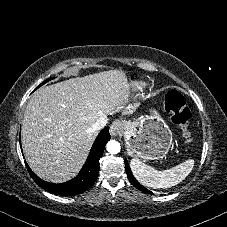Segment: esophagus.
I'll list each match as a JSON object with an SVG mask.
<instances>
[{
  "instance_id": "obj_1",
  "label": "esophagus",
  "mask_w": 227,
  "mask_h": 227,
  "mask_svg": "<svg viewBox=\"0 0 227 227\" xmlns=\"http://www.w3.org/2000/svg\"><path fill=\"white\" fill-rule=\"evenodd\" d=\"M121 129H122V122L119 120H115L110 125L109 132L112 136L116 137V136L120 135Z\"/></svg>"
}]
</instances>
